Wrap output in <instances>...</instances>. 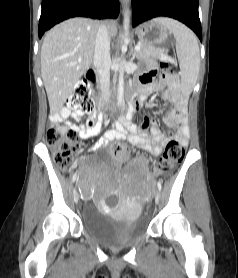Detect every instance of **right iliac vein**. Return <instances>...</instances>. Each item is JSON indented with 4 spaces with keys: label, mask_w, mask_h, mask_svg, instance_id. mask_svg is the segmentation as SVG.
<instances>
[{
    "label": "right iliac vein",
    "mask_w": 238,
    "mask_h": 278,
    "mask_svg": "<svg viewBox=\"0 0 238 278\" xmlns=\"http://www.w3.org/2000/svg\"><path fill=\"white\" fill-rule=\"evenodd\" d=\"M76 192H77V189H73V195H76ZM78 199H79V197H78V195H76L74 198V202H78Z\"/></svg>",
    "instance_id": "1"
}]
</instances>
